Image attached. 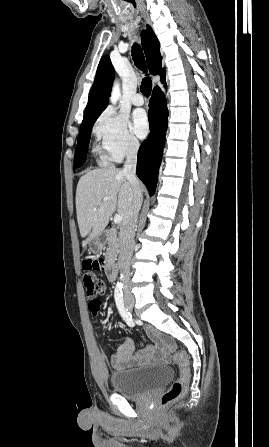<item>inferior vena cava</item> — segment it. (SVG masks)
Here are the masks:
<instances>
[{
  "mask_svg": "<svg viewBox=\"0 0 269 447\" xmlns=\"http://www.w3.org/2000/svg\"><path fill=\"white\" fill-rule=\"evenodd\" d=\"M139 146L140 144L138 140H135L134 144L128 148L126 162L122 170V174L129 180V184H131L134 192L132 206L120 227L118 265L122 275L121 281L124 283V295H131L129 289L130 259L134 249L135 227L138 222V216L143 202L139 182L136 178L137 152Z\"/></svg>",
  "mask_w": 269,
  "mask_h": 447,
  "instance_id": "inferior-vena-cava-1",
  "label": "inferior vena cava"
}]
</instances>
